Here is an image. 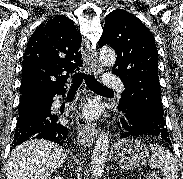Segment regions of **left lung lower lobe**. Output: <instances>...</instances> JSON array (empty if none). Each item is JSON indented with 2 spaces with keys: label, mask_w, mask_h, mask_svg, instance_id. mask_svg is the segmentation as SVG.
I'll use <instances>...</instances> for the list:
<instances>
[{
  "label": "left lung lower lobe",
  "mask_w": 183,
  "mask_h": 179,
  "mask_svg": "<svg viewBox=\"0 0 183 179\" xmlns=\"http://www.w3.org/2000/svg\"><path fill=\"white\" fill-rule=\"evenodd\" d=\"M120 115L117 126L120 138H129L138 135H147L161 138L171 144L165 125L158 124L146 114L133 106L119 109Z\"/></svg>",
  "instance_id": "left-lung-lower-lobe-1"
}]
</instances>
